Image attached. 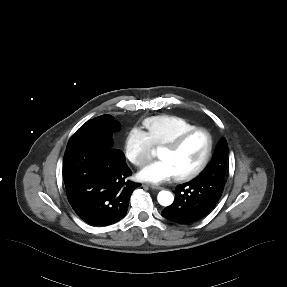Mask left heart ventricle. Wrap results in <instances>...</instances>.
I'll return each instance as SVG.
<instances>
[{
	"label": "left heart ventricle",
	"mask_w": 287,
	"mask_h": 287,
	"mask_svg": "<svg viewBox=\"0 0 287 287\" xmlns=\"http://www.w3.org/2000/svg\"><path fill=\"white\" fill-rule=\"evenodd\" d=\"M206 149L207 138L205 134L197 133L177 151L162 148L158 157L167 161L176 176H179L193 170L202 161Z\"/></svg>",
	"instance_id": "b2bd125f"
}]
</instances>
